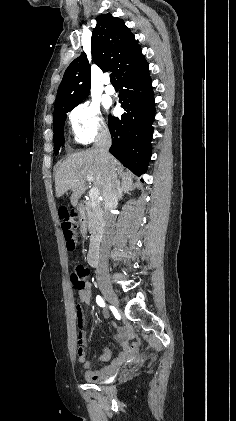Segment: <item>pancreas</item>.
I'll return each instance as SVG.
<instances>
[{"mask_svg":"<svg viewBox=\"0 0 236 421\" xmlns=\"http://www.w3.org/2000/svg\"><path fill=\"white\" fill-rule=\"evenodd\" d=\"M86 223L91 235L90 251L99 249L103 233V211L100 202L92 204L91 200L85 202Z\"/></svg>","mask_w":236,"mask_h":421,"instance_id":"1","label":"pancreas"}]
</instances>
